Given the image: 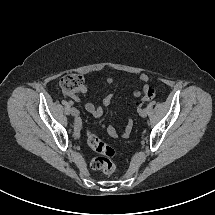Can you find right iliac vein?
I'll return each mask as SVG.
<instances>
[{"label":"right iliac vein","mask_w":215,"mask_h":215,"mask_svg":"<svg viewBox=\"0 0 215 215\" xmlns=\"http://www.w3.org/2000/svg\"><path fill=\"white\" fill-rule=\"evenodd\" d=\"M71 114H72V116L77 117L79 115V111L76 108H72Z\"/></svg>","instance_id":"63e3f726"}]
</instances>
